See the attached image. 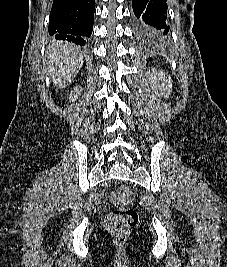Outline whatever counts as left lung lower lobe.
<instances>
[{
    "instance_id": "obj_1",
    "label": "left lung lower lobe",
    "mask_w": 227,
    "mask_h": 267,
    "mask_svg": "<svg viewBox=\"0 0 227 267\" xmlns=\"http://www.w3.org/2000/svg\"><path fill=\"white\" fill-rule=\"evenodd\" d=\"M132 6L137 29L142 35L157 37L169 33L166 0H132Z\"/></svg>"
}]
</instances>
